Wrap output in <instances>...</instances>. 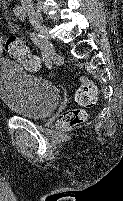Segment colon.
Here are the masks:
<instances>
[{"mask_svg":"<svg viewBox=\"0 0 123 201\" xmlns=\"http://www.w3.org/2000/svg\"><path fill=\"white\" fill-rule=\"evenodd\" d=\"M4 50L14 59L23 63L29 70H38L40 62L37 57L30 54L28 48L22 41L15 36H8L3 41ZM76 102L85 108H90L98 103V91L95 85L81 77V84L75 95ZM86 119L84 109H73L62 113L57 121L58 127L62 130H68L81 125Z\"/></svg>","mask_w":123,"mask_h":201,"instance_id":"obj_1","label":"colon"}]
</instances>
